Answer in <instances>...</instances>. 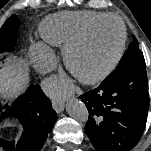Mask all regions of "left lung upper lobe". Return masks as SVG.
Here are the masks:
<instances>
[{
  "label": "left lung upper lobe",
  "mask_w": 151,
  "mask_h": 151,
  "mask_svg": "<svg viewBox=\"0 0 151 151\" xmlns=\"http://www.w3.org/2000/svg\"><path fill=\"white\" fill-rule=\"evenodd\" d=\"M132 38H133V42L130 44L129 48L124 53V56L122 57L117 68L108 77L134 64L145 65L143 53L139 49V45H138L139 43L135 38V36H132Z\"/></svg>",
  "instance_id": "left-lung-upper-lobe-1"
}]
</instances>
